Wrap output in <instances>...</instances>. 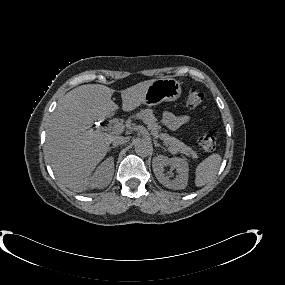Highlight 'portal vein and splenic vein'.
<instances>
[{
	"mask_svg": "<svg viewBox=\"0 0 285 285\" xmlns=\"http://www.w3.org/2000/svg\"><path fill=\"white\" fill-rule=\"evenodd\" d=\"M124 128H125V125H124V124H122V123H116L115 125H113V127L111 128V130H112L114 133H119V132H122Z\"/></svg>",
	"mask_w": 285,
	"mask_h": 285,
	"instance_id": "portal-vein-and-splenic-vein-1",
	"label": "portal vein and splenic vein"
}]
</instances>
